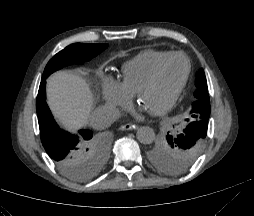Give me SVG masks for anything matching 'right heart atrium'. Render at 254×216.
<instances>
[{
	"label": "right heart atrium",
	"mask_w": 254,
	"mask_h": 216,
	"mask_svg": "<svg viewBox=\"0 0 254 216\" xmlns=\"http://www.w3.org/2000/svg\"><path fill=\"white\" fill-rule=\"evenodd\" d=\"M102 94L105 102L122 108L128 107L132 100L131 94L127 93L119 83L110 79L104 80Z\"/></svg>",
	"instance_id": "right-heart-atrium-1"
}]
</instances>
